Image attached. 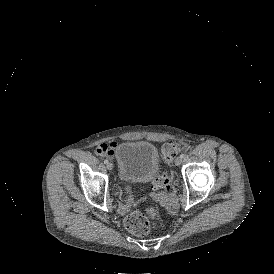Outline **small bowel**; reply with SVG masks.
<instances>
[{
  "mask_svg": "<svg viewBox=\"0 0 274 274\" xmlns=\"http://www.w3.org/2000/svg\"><path fill=\"white\" fill-rule=\"evenodd\" d=\"M116 143L115 142H105L99 143L95 147V152L104 157H112L115 153Z\"/></svg>",
  "mask_w": 274,
  "mask_h": 274,
  "instance_id": "obj_1",
  "label": "small bowel"
}]
</instances>
